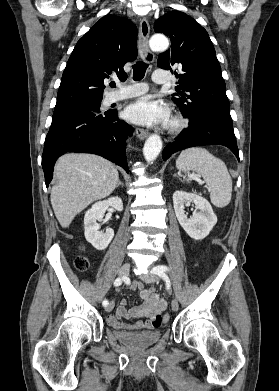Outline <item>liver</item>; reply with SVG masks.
I'll return each instance as SVG.
<instances>
[{
  "instance_id": "6515ba94",
  "label": "liver",
  "mask_w": 279,
  "mask_h": 391,
  "mask_svg": "<svg viewBox=\"0 0 279 391\" xmlns=\"http://www.w3.org/2000/svg\"><path fill=\"white\" fill-rule=\"evenodd\" d=\"M54 174L51 204L63 228L92 202L109 196L119 181L116 167L94 154H65L57 160Z\"/></svg>"
}]
</instances>
